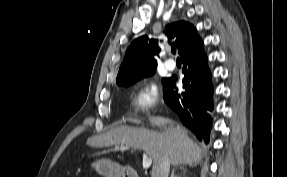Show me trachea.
<instances>
[{
	"mask_svg": "<svg viewBox=\"0 0 287 177\" xmlns=\"http://www.w3.org/2000/svg\"><path fill=\"white\" fill-rule=\"evenodd\" d=\"M171 51H172L173 54H175V53H176V47L173 46L172 49H171ZM177 61H180V59L177 58Z\"/></svg>",
	"mask_w": 287,
	"mask_h": 177,
	"instance_id": "1",
	"label": "trachea"
}]
</instances>
